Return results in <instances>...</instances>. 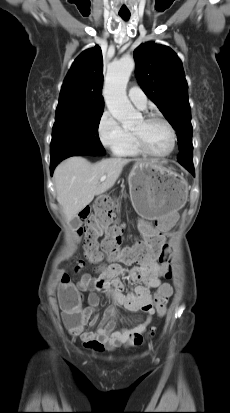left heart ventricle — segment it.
I'll list each match as a JSON object with an SVG mask.
<instances>
[{"label":"left heart ventricle","instance_id":"left-heart-ventricle-1","mask_svg":"<svg viewBox=\"0 0 230 413\" xmlns=\"http://www.w3.org/2000/svg\"><path fill=\"white\" fill-rule=\"evenodd\" d=\"M133 131L138 133L145 143L156 152H165L171 144V135L167 126L158 120L146 122L140 120L133 128Z\"/></svg>","mask_w":230,"mask_h":413}]
</instances>
